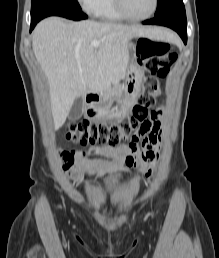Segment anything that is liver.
Segmentation results:
<instances>
[{
  "label": "liver",
  "mask_w": 219,
  "mask_h": 258,
  "mask_svg": "<svg viewBox=\"0 0 219 258\" xmlns=\"http://www.w3.org/2000/svg\"><path fill=\"white\" fill-rule=\"evenodd\" d=\"M133 37L173 40L161 28L96 21L67 22L47 18L36 26L32 47L49 84L55 128L66 120L72 104L87 92L103 93L126 75L128 42ZM92 41H99L96 49Z\"/></svg>",
  "instance_id": "obj_1"
}]
</instances>
